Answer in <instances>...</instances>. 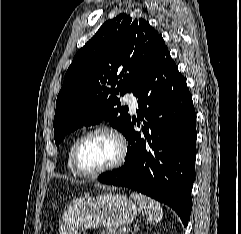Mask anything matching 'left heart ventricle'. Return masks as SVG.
<instances>
[{
    "label": "left heart ventricle",
    "instance_id": "1",
    "mask_svg": "<svg viewBox=\"0 0 241 234\" xmlns=\"http://www.w3.org/2000/svg\"><path fill=\"white\" fill-rule=\"evenodd\" d=\"M119 152L116 140L106 134L98 133L89 137L79 151V162L86 171H95L113 163Z\"/></svg>",
    "mask_w": 241,
    "mask_h": 234
}]
</instances>
